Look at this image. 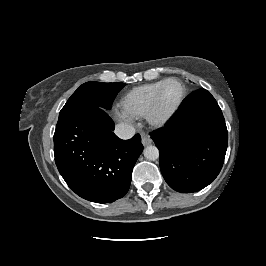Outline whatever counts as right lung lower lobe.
<instances>
[{"label":"right lung lower lobe","instance_id":"obj_1","mask_svg":"<svg viewBox=\"0 0 266 266\" xmlns=\"http://www.w3.org/2000/svg\"><path fill=\"white\" fill-rule=\"evenodd\" d=\"M105 109L80 108L54 133V156L59 173L80 197L111 203L122 198L131 183L133 167L143 151L141 137L118 138Z\"/></svg>","mask_w":266,"mask_h":266}]
</instances>
